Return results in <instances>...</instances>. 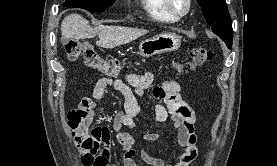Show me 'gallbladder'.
I'll return each instance as SVG.
<instances>
[{
  "mask_svg": "<svg viewBox=\"0 0 277 166\" xmlns=\"http://www.w3.org/2000/svg\"><path fill=\"white\" fill-rule=\"evenodd\" d=\"M66 40H63L62 42L65 43Z\"/></svg>",
  "mask_w": 277,
  "mask_h": 166,
  "instance_id": "bac80fb5",
  "label": "gallbladder"
}]
</instances>
